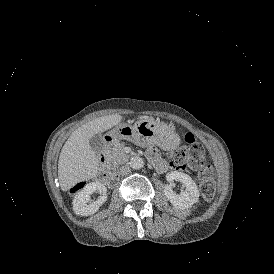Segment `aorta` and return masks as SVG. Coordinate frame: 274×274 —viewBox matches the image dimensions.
Listing matches in <instances>:
<instances>
[{
  "label": "aorta",
  "instance_id": "obj_1",
  "mask_svg": "<svg viewBox=\"0 0 274 274\" xmlns=\"http://www.w3.org/2000/svg\"><path fill=\"white\" fill-rule=\"evenodd\" d=\"M130 167L133 169H141L144 166V160L141 157H132L130 162Z\"/></svg>",
  "mask_w": 274,
  "mask_h": 274
}]
</instances>
